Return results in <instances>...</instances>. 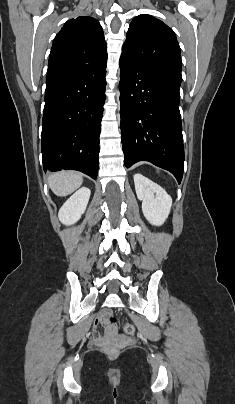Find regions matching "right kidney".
Masks as SVG:
<instances>
[{
  "label": "right kidney",
  "instance_id": "1",
  "mask_svg": "<svg viewBox=\"0 0 235 404\" xmlns=\"http://www.w3.org/2000/svg\"><path fill=\"white\" fill-rule=\"evenodd\" d=\"M91 191L86 187L77 190L59 210V220L65 225L76 223L85 212Z\"/></svg>",
  "mask_w": 235,
  "mask_h": 404
}]
</instances>
